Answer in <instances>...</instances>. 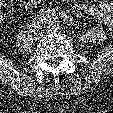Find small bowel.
<instances>
[{
	"label": "small bowel",
	"instance_id": "small-bowel-1",
	"mask_svg": "<svg viewBox=\"0 0 113 113\" xmlns=\"http://www.w3.org/2000/svg\"><path fill=\"white\" fill-rule=\"evenodd\" d=\"M18 1V0H9ZM7 0H0V7L9 3ZM26 3L27 8H32L41 3L42 0H21ZM72 12L77 16L87 15L93 18L98 24L107 26L108 30L113 33V2L100 0L96 6L76 3L72 6Z\"/></svg>",
	"mask_w": 113,
	"mask_h": 113
}]
</instances>
